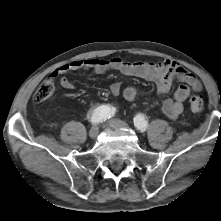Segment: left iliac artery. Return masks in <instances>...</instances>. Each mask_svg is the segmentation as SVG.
I'll use <instances>...</instances> for the list:
<instances>
[{
	"mask_svg": "<svg viewBox=\"0 0 221 221\" xmlns=\"http://www.w3.org/2000/svg\"><path fill=\"white\" fill-rule=\"evenodd\" d=\"M134 125L139 131L144 132L147 129L148 122L143 115L139 114L134 117Z\"/></svg>",
	"mask_w": 221,
	"mask_h": 221,
	"instance_id": "obj_1",
	"label": "left iliac artery"
}]
</instances>
